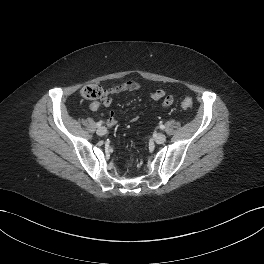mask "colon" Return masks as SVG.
<instances>
[{
    "label": "colon",
    "mask_w": 264,
    "mask_h": 264,
    "mask_svg": "<svg viewBox=\"0 0 264 264\" xmlns=\"http://www.w3.org/2000/svg\"><path fill=\"white\" fill-rule=\"evenodd\" d=\"M81 96L83 99L89 101L98 100L104 96V90L96 84L87 85L81 90ZM181 106L185 109L191 108L193 106V100L189 97L184 98Z\"/></svg>",
    "instance_id": "colon-1"
}]
</instances>
